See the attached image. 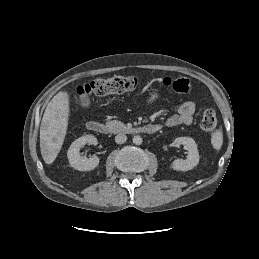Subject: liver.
I'll return each mask as SVG.
<instances>
[{"label":"liver","mask_w":259,"mask_h":259,"mask_svg":"<svg viewBox=\"0 0 259 259\" xmlns=\"http://www.w3.org/2000/svg\"><path fill=\"white\" fill-rule=\"evenodd\" d=\"M70 114L69 94L58 92L48 103L40 126V150L46 164H52L60 152Z\"/></svg>","instance_id":"6515ba94"}]
</instances>
